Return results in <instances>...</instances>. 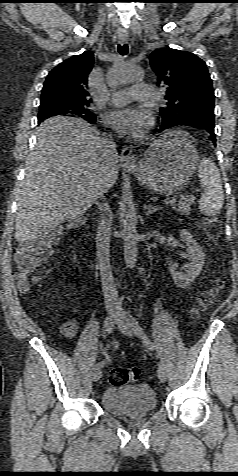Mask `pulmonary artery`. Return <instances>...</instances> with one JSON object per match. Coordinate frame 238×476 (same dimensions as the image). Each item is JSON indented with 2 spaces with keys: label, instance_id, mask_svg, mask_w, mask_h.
Returning <instances> with one entry per match:
<instances>
[{
  "label": "pulmonary artery",
  "instance_id": "obj_1",
  "mask_svg": "<svg viewBox=\"0 0 238 476\" xmlns=\"http://www.w3.org/2000/svg\"><path fill=\"white\" fill-rule=\"evenodd\" d=\"M155 90L152 85L145 83H136L130 89H122L115 91L111 97L110 102L113 105H125L132 100L146 101L154 97Z\"/></svg>",
  "mask_w": 238,
  "mask_h": 476
}]
</instances>
